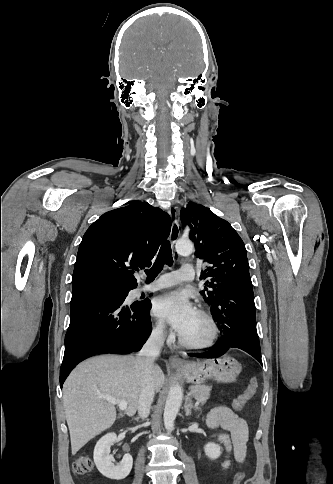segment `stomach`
Here are the masks:
<instances>
[{
    "label": "stomach",
    "instance_id": "obj_1",
    "mask_svg": "<svg viewBox=\"0 0 333 484\" xmlns=\"http://www.w3.org/2000/svg\"><path fill=\"white\" fill-rule=\"evenodd\" d=\"M241 369V364L236 359L225 354L217 358L186 362L178 370L188 383L202 385L208 380L234 382Z\"/></svg>",
    "mask_w": 333,
    "mask_h": 484
}]
</instances>
